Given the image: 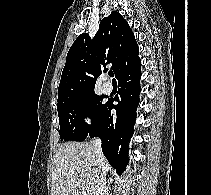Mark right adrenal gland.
<instances>
[{
  "label": "right adrenal gland",
  "instance_id": "1",
  "mask_svg": "<svg viewBox=\"0 0 211 195\" xmlns=\"http://www.w3.org/2000/svg\"><path fill=\"white\" fill-rule=\"evenodd\" d=\"M112 190L111 189V182H108V185L106 186L105 188V191H104V195H108V192Z\"/></svg>",
  "mask_w": 211,
  "mask_h": 195
}]
</instances>
